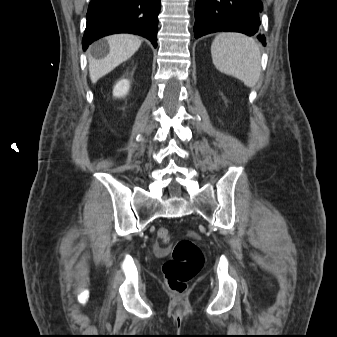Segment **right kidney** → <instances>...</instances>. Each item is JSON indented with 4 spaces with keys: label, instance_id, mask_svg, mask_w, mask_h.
<instances>
[{
    "label": "right kidney",
    "instance_id": "obj_1",
    "mask_svg": "<svg viewBox=\"0 0 337 337\" xmlns=\"http://www.w3.org/2000/svg\"><path fill=\"white\" fill-rule=\"evenodd\" d=\"M129 88L130 82L126 79H122L118 81L117 84L115 85L113 89V96L118 98L124 97L125 95H127Z\"/></svg>",
    "mask_w": 337,
    "mask_h": 337
}]
</instances>
